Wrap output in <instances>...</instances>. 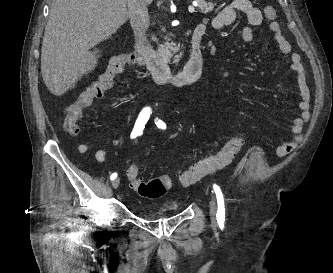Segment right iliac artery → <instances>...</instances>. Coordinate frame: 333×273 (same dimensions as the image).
Instances as JSON below:
<instances>
[{"mask_svg":"<svg viewBox=\"0 0 333 273\" xmlns=\"http://www.w3.org/2000/svg\"><path fill=\"white\" fill-rule=\"evenodd\" d=\"M151 113H152V109L150 107L143 108V110L140 112V114L135 122L133 131L131 132V135H130L131 139H134L137 136H140L143 134V129L145 128V124L149 120ZM116 177H117V173H113L110 176V179L114 180Z\"/></svg>","mask_w":333,"mask_h":273,"instance_id":"1","label":"right iliac artery"}]
</instances>
